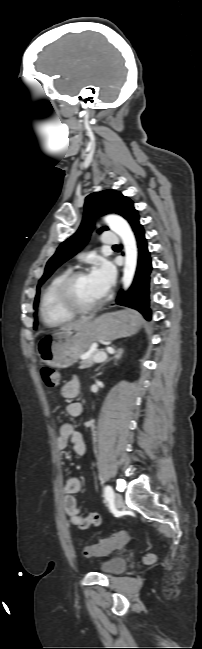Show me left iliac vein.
Returning a JSON list of instances; mask_svg holds the SVG:
<instances>
[{
    "mask_svg": "<svg viewBox=\"0 0 202 649\" xmlns=\"http://www.w3.org/2000/svg\"><path fill=\"white\" fill-rule=\"evenodd\" d=\"M113 502L117 508H122L123 507V498L121 494L115 493L113 495Z\"/></svg>",
    "mask_w": 202,
    "mask_h": 649,
    "instance_id": "1",
    "label": "left iliac vein"
}]
</instances>
